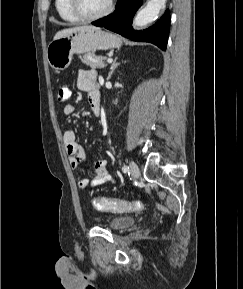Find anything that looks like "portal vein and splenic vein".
<instances>
[{"label":"portal vein and splenic vein","instance_id":"18ae733b","mask_svg":"<svg viewBox=\"0 0 243 289\" xmlns=\"http://www.w3.org/2000/svg\"><path fill=\"white\" fill-rule=\"evenodd\" d=\"M112 61H113V60H112L111 58H108V59H107V62H108V63H112Z\"/></svg>","mask_w":243,"mask_h":289}]
</instances>
